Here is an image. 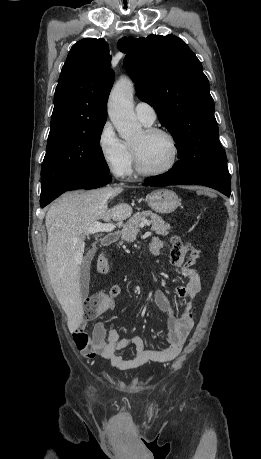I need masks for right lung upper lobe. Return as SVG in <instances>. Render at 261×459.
<instances>
[{"instance_id":"1","label":"right lung upper lobe","mask_w":261,"mask_h":459,"mask_svg":"<svg viewBox=\"0 0 261 459\" xmlns=\"http://www.w3.org/2000/svg\"><path fill=\"white\" fill-rule=\"evenodd\" d=\"M110 61L104 39L87 38L72 46L55 90L49 136L106 122L114 82Z\"/></svg>"}]
</instances>
